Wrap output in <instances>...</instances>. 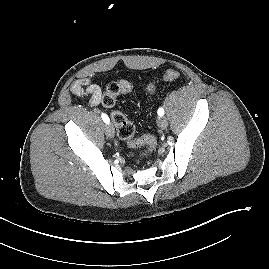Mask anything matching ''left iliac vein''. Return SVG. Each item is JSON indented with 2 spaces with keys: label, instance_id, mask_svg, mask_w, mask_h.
Returning <instances> with one entry per match:
<instances>
[{
  "label": "left iliac vein",
  "instance_id": "1",
  "mask_svg": "<svg viewBox=\"0 0 269 269\" xmlns=\"http://www.w3.org/2000/svg\"><path fill=\"white\" fill-rule=\"evenodd\" d=\"M158 126L161 128V129H165L167 128L168 126V120L166 117H159L158 119Z\"/></svg>",
  "mask_w": 269,
  "mask_h": 269
}]
</instances>
